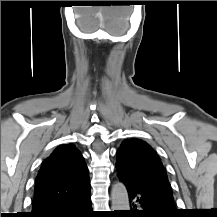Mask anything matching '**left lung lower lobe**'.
Returning <instances> with one entry per match:
<instances>
[{"instance_id":"left-lung-lower-lobe-1","label":"left lung lower lobe","mask_w":217,"mask_h":217,"mask_svg":"<svg viewBox=\"0 0 217 217\" xmlns=\"http://www.w3.org/2000/svg\"><path fill=\"white\" fill-rule=\"evenodd\" d=\"M129 199H132L134 206H140L142 210L128 212L130 217H177L178 211L174 202L167 198L152 193H146L134 188L127 187Z\"/></svg>"}]
</instances>
